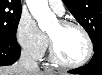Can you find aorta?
Listing matches in <instances>:
<instances>
[{"instance_id": "762f6f07", "label": "aorta", "mask_w": 102, "mask_h": 75, "mask_svg": "<svg viewBox=\"0 0 102 75\" xmlns=\"http://www.w3.org/2000/svg\"><path fill=\"white\" fill-rule=\"evenodd\" d=\"M26 2L42 31L47 30L52 24L57 22L56 15L51 12L47 0H26Z\"/></svg>"}]
</instances>
